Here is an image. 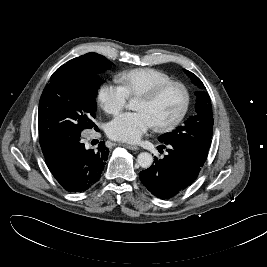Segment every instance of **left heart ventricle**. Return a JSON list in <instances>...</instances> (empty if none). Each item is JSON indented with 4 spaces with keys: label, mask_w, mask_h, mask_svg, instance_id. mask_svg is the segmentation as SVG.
Wrapping results in <instances>:
<instances>
[{
    "label": "left heart ventricle",
    "mask_w": 267,
    "mask_h": 267,
    "mask_svg": "<svg viewBox=\"0 0 267 267\" xmlns=\"http://www.w3.org/2000/svg\"><path fill=\"white\" fill-rule=\"evenodd\" d=\"M184 103V94L178 87L166 90L153 102L135 100L133 108L144 113L152 126L172 121L180 112Z\"/></svg>",
    "instance_id": "obj_1"
}]
</instances>
